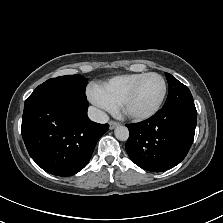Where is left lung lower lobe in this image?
<instances>
[{
    "mask_svg": "<svg viewBox=\"0 0 223 223\" xmlns=\"http://www.w3.org/2000/svg\"><path fill=\"white\" fill-rule=\"evenodd\" d=\"M197 122L195 105H172L160 109L151 118L127 124L129 139L125 148L139 167L163 172L178 165L187 155Z\"/></svg>",
    "mask_w": 223,
    "mask_h": 223,
    "instance_id": "0a47b994",
    "label": "left lung lower lobe"
}]
</instances>
